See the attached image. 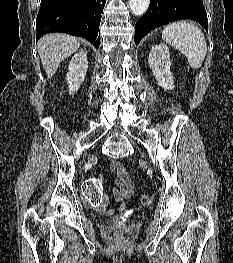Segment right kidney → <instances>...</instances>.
Masks as SVG:
<instances>
[{"mask_svg":"<svg viewBox=\"0 0 233 263\" xmlns=\"http://www.w3.org/2000/svg\"><path fill=\"white\" fill-rule=\"evenodd\" d=\"M88 69L87 52L81 50L76 53L68 66L66 80L69 85V94L74 95L78 91L80 85L84 82Z\"/></svg>","mask_w":233,"mask_h":263,"instance_id":"1","label":"right kidney"}]
</instances>
